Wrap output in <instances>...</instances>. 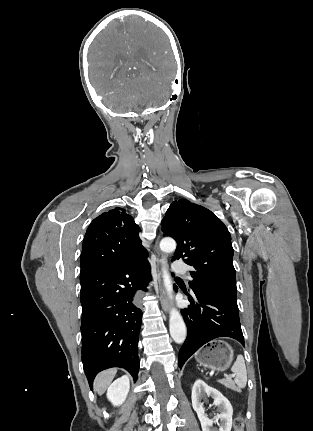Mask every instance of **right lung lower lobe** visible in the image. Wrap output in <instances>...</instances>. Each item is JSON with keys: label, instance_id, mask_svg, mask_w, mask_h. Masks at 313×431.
<instances>
[{"label": "right lung lower lobe", "instance_id": "right-lung-lower-lobe-1", "mask_svg": "<svg viewBox=\"0 0 313 431\" xmlns=\"http://www.w3.org/2000/svg\"><path fill=\"white\" fill-rule=\"evenodd\" d=\"M146 258L80 274L82 362L91 388L96 374L111 367L137 379L142 311L136 295L151 280Z\"/></svg>", "mask_w": 313, "mask_h": 431}]
</instances>
